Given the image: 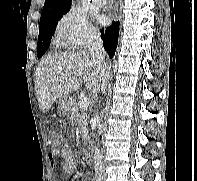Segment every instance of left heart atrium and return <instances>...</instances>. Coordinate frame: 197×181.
Returning a JSON list of instances; mask_svg holds the SVG:
<instances>
[{"label": "left heart atrium", "instance_id": "39dd6f15", "mask_svg": "<svg viewBox=\"0 0 197 181\" xmlns=\"http://www.w3.org/2000/svg\"><path fill=\"white\" fill-rule=\"evenodd\" d=\"M98 20L99 21H103L104 20V17L100 16V17H98Z\"/></svg>", "mask_w": 197, "mask_h": 181}]
</instances>
